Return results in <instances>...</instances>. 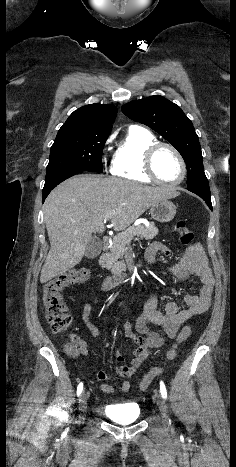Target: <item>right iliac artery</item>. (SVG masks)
I'll use <instances>...</instances> for the list:
<instances>
[{"label": "right iliac artery", "mask_w": 236, "mask_h": 467, "mask_svg": "<svg viewBox=\"0 0 236 467\" xmlns=\"http://www.w3.org/2000/svg\"><path fill=\"white\" fill-rule=\"evenodd\" d=\"M83 390V383L81 382L77 387V395L79 396Z\"/></svg>", "instance_id": "1"}]
</instances>
